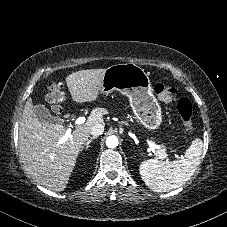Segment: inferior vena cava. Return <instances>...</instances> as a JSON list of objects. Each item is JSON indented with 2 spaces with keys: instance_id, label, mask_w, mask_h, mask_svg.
<instances>
[{
  "instance_id": "1",
  "label": "inferior vena cava",
  "mask_w": 227,
  "mask_h": 227,
  "mask_svg": "<svg viewBox=\"0 0 227 227\" xmlns=\"http://www.w3.org/2000/svg\"><path fill=\"white\" fill-rule=\"evenodd\" d=\"M104 132V125L103 124H95L94 126L91 127L90 133L93 136H100Z\"/></svg>"
}]
</instances>
